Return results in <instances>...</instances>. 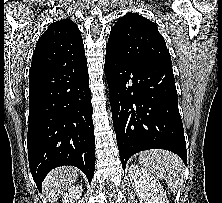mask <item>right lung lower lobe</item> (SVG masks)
I'll list each match as a JSON object with an SVG mask.
<instances>
[{
  "label": "right lung lower lobe",
  "instance_id": "obj_1",
  "mask_svg": "<svg viewBox=\"0 0 222 203\" xmlns=\"http://www.w3.org/2000/svg\"><path fill=\"white\" fill-rule=\"evenodd\" d=\"M87 64L29 76L27 148L30 171L41 191L53 168L72 165L92 180L95 137Z\"/></svg>",
  "mask_w": 222,
  "mask_h": 203
}]
</instances>
